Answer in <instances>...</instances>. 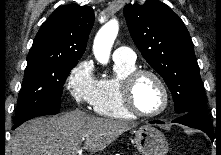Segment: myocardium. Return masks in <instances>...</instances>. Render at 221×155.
<instances>
[{"instance_id":"obj_1","label":"myocardium","mask_w":221,"mask_h":155,"mask_svg":"<svg viewBox=\"0 0 221 155\" xmlns=\"http://www.w3.org/2000/svg\"><path fill=\"white\" fill-rule=\"evenodd\" d=\"M144 76L152 77L160 86L163 93V104L161 108L155 112H144L137 106L134 98V90L137 82ZM121 97L125 108L133 115L145 118H152L163 114L170 102V95L165 81L156 72L148 69H135L129 73L121 83Z\"/></svg>"}]
</instances>
